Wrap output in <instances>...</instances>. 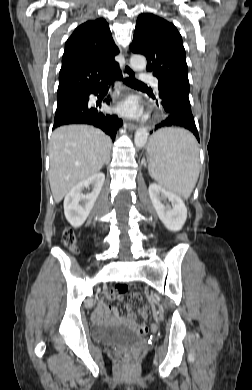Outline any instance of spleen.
Instances as JSON below:
<instances>
[{
  "label": "spleen",
  "instance_id": "1",
  "mask_svg": "<svg viewBox=\"0 0 252 390\" xmlns=\"http://www.w3.org/2000/svg\"><path fill=\"white\" fill-rule=\"evenodd\" d=\"M149 174L167 190L188 198L199 176V150L195 137L179 128L153 134L147 148Z\"/></svg>",
  "mask_w": 252,
  "mask_h": 390
}]
</instances>
